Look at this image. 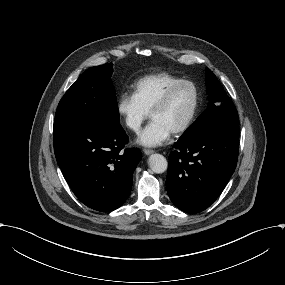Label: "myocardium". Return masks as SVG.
<instances>
[{
  "label": "myocardium",
  "instance_id": "1",
  "mask_svg": "<svg viewBox=\"0 0 285 285\" xmlns=\"http://www.w3.org/2000/svg\"><path fill=\"white\" fill-rule=\"evenodd\" d=\"M183 84H189L193 87L194 93H195V101H194L192 110L189 116L186 118V120L181 125H179L173 130V133L175 134H179V133L186 131L190 127V125L192 124V122L194 121L198 113L200 103H201V91H200L199 86L196 84V82H194L191 79H181L178 82L172 84L165 90V92L162 94V96L159 98V100L156 102V104L154 105V107L152 108L150 112V115L152 116L154 112L167 106L174 91Z\"/></svg>",
  "mask_w": 285,
  "mask_h": 285
}]
</instances>
